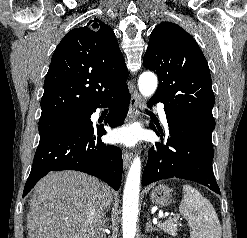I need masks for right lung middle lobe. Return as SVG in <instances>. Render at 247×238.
I'll use <instances>...</instances> for the list:
<instances>
[{
	"label": "right lung middle lobe",
	"instance_id": "1",
	"mask_svg": "<svg viewBox=\"0 0 247 238\" xmlns=\"http://www.w3.org/2000/svg\"><path fill=\"white\" fill-rule=\"evenodd\" d=\"M87 117L83 113L63 115L51 119L39 121L40 138H43L53 132H56L69 125L82 123Z\"/></svg>",
	"mask_w": 247,
	"mask_h": 238
}]
</instances>
